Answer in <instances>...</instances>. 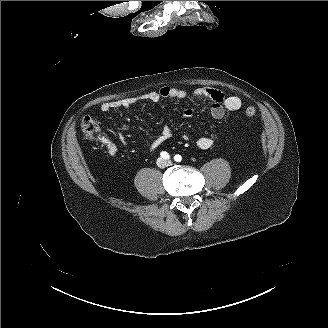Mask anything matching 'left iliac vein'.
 I'll use <instances>...</instances> for the list:
<instances>
[{"mask_svg": "<svg viewBox=\"0 0 328 328\" xmlns=\"http://www.w3.org/2000/svg\"><path fill=\"white\" fill-rule=\"evenodd\" d=\"M168 165H171V162L170 161H168Z\"/></svg>", "mask_w": 328, "mask_h": 328, "instance_id": "4c4485c4", "label": "left iliac vein"}]
</instances>
